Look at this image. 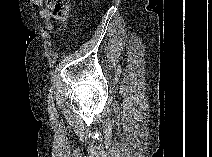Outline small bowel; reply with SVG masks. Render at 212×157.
<instances>
[{
  "label": "small bowel",
  "instance_id": "c3829d8e",
  "mask_svg": "<svg viewBox=\"0 0 212 157\" xmlns=\"http://www.w3.org/2000/svg\"><path fill=\"white\" fill-rule=\"evenodd\" d=\"M32 4L38 8L40 17L44 20V27L46 30L51 31L53 29V23L51 21V15L48 9L43 5L42 0H33Z\"/></svg>",
  "mask_w": 212,
  "mask_h": 157
}]
</instances>
